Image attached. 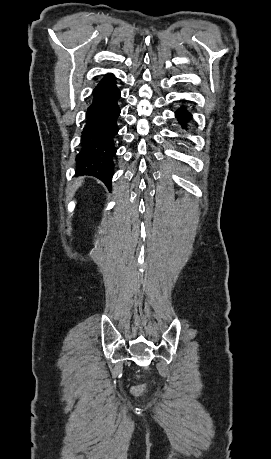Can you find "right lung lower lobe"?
Masks as SVG:
<instances>
[{"mask_svg": "<svg viewBox=\"0 0 271 459\" xmlns=\"http://www.w3.org/2000/svg\"><path fill=\"white\" fill-rule=\"evenodd\" d=\"M120 91L115 77L107 74L93 91V101L87 109L80 151L76 156V175L94 176L111 188L116 154L114 138L118 133L117 118Z\"/></svg>", "mask_w": 271, "mask_h": 459, "instance_id": "1", "label": "right lung lower lobe"}]
</instances>
